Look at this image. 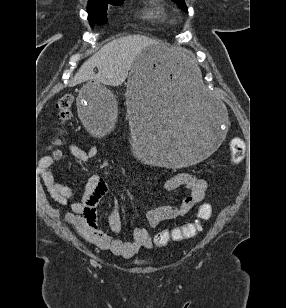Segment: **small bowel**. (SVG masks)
<instances>
[{
	"instance_id": "obj_1",
	"label": "small bowel",
	"mask_w": 286,
	"mask_h": 308,
	"mask_svg": "<svg viewBox=\"0 0 286 308\" xmlns=\"http://www.w3.org/2000/svg\"><path fill=\"white\" fill-rule=\"evenodd\" d=\"M69 151L73 156L82 160L88 159L96 153L95 148L83 151L75 145H69ZM54 163V159L50 156L42 158L40 164L41 177L51 198L57 203L65 205L75 193L73 189L55 179L52 172ZM164 186L168 190L183 187L186 194L180 204H168L150 209L146 213V220L150 228L157 227L163 221L185 216L204 199L207 182L193 174L180 172L166 180ZM107 192L108 185L102 176L98 174L89 176L80 200L73 202L71 212L65 215L66 221L85 240L100 248L108 249L118 256L130 258L143 248H151L152 241L146 228H136L133 232L132 241H123L98 228L96 207ZM49 211L52 215H58V212L53 208H50ZM108 224L113 233L120 232L121 220L116 205L109 212Z\"/></svg>"
}]
</instances>
